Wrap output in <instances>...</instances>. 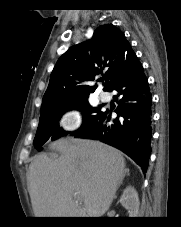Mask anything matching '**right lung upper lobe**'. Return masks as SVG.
<instances>
[{
  "mask_svg": "<svg viewBox=\"0 0 181 227\" xmlns=\"http://www.w3.org/2000/svg\"><path fill=\"white\" fill-rule=\"evenodd\" d=\"M133 56L134 51L118 28L112 24L98 27L89 43L74 45L59 58L51 73L41 110L88 97L97 86H87L83 82L94 80V76L103 71L106 76L104 90L107 91Z\"/></svg>",
  "mask_w": 181,
  "mask_h": 227,
  "instance_id": "cb5924a9",
  "label": "right lung upper lobe"
}]
</instances>
